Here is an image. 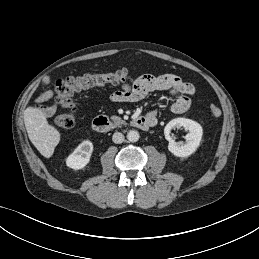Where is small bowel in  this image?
I'll list each match as a JSON object with an SVG mask.
<instances>
[{
	"label": "small bowel",
	"mask_w": 259,
	"mask_h": 259,
	"mask_svg": "<svg viewBox=\"0 0 259 259\" xmlns=\"http://www.w3.org/2000/svg\"><path fill=\"white\" fill-rule=\"evenodd\" d=\"M155 91H169L175 96V101L171 105L172 112L181 114L186 112L192 103V96L195 92L194 86L182 80L174 74L151 75L143 74L138 76L132 84H124L111 94V100L115 102H138L143 100L149 93ZM54 97L52 90H44L35 100V108L45 117H52L56 112V105H43ZM156 112L147 114L156 118Z\"/></svg>",
	"instance_id": "obj_1"
}]
</instances>
